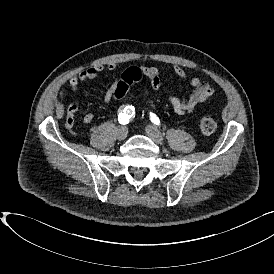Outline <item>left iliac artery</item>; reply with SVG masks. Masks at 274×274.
<instances>
[{
  "label": "left iliac artery",
  "instance_id": "obj_1",
  "mask_svg": "<svg viewBox=\"0 0 274 274\" xmlns=\"http://www.w3.org/2000/svg\"><path fill=\"white\" fill-rule=\"evenodd\" d=\"M150 120L156 125L160 124L159 118L153 113H150Z\"/></svg>",
  "mask_w": 274,
  "mask_h": 274
}]
</instances>
